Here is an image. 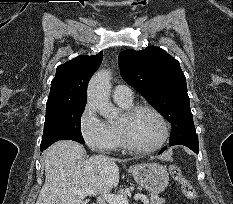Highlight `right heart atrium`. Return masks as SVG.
Returning a JSON list of instances; mask_svg holds the SVG:
<instances>
[{
    "label": "right heart atrium",
    "mask_w": 233,
    "mask_h": 204,
    "mask_svg": "<svg viewBox=\"0 0 233 204\" xmlns=\"http://www.w3.org/2000/svg\"><path fill=\"white\" fill-rule=\"evenodd\" d=\"M80 134L86 145L93 151L105 152L114 148V136L96 113L90 103H86L79 118Z\"/></svg>",
    "instance_id": "obj_1"
}]
</instances>
